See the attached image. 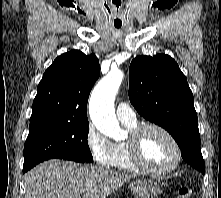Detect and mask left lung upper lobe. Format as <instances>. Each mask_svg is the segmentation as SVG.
<instances>
[{"label": "left lung upper lobe", "instance_id": "1", "mask_svg": "<svg viewBox=\"0 0 221 198\" xmlns=\"http://www.w3.org/2000/svg\"><path fill=\"white\" fill-rule=\"evenodd\" d=\"M129 98L141 116L172 135L189 165L205 172L193 94L173 58L136 57L129 68Z\"/></svg>", "mask_w": 221, "mask_h": 198}]
</instances>
